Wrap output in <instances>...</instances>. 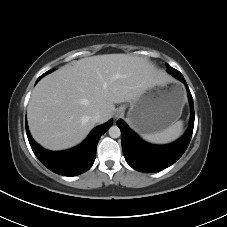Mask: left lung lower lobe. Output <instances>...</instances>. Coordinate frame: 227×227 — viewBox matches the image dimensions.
<instances>
[{
	"mask_svg": "<svg viewBox=\"0 0 227 227\" xmlns=\"http://www.w3.org/2000/svg\"><path fill=\"white\" fill-rule=\"evenodd\" d=\"M169 73L185 84L190 102V125L183 137L172 144L162 146L152 145L142 141L131 129L128 128L124 121H117V126L121 130V144L124 157L133 169L140 172H158L175 163L187 149L192 137L194 127V106L192 95L184 77L179 71L172 70Z\"/></svg>",
	"mask_w": 227,
	"mask_h": 227,
	"instance_id": "obj_1",
	"label": "left lung lower lobe"
}]
</instances>
